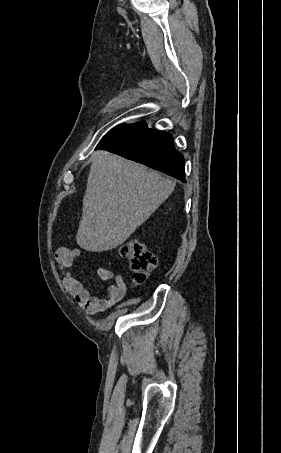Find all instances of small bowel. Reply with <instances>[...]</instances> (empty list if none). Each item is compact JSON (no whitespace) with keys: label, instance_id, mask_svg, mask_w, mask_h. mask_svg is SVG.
<instances>
[{"label":"small bowel","instance_id":"c3829d8e","mask_svg":"<svg viewBox=\"0 0 281 453\" xmlns=\"http://www.w3.org/2000/svg\"><path fill=\"white\" fill-rule=\"evenodd\" d=\"M78 250L59 249L55 259L62 273L65 286L74 294L79 302H82L87 315H96L113 304L123 299L127 294V286L122 274L114 276L109 268L97 267L96 275L103 280H114L108 287L107 296L104 298L92 296L90 291L73 275V267L79 257Z\"/></svg>","mask_w":281,"mask_h":453}]
</instances>
